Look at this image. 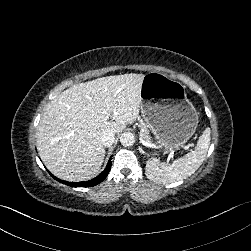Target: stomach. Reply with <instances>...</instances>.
Segmentation results:
<instances>
[{
    "mask_svg": "<svg viewBox=\"0 0 251 251\" xmlns=\"http://www.w3.org/2000/svg\"><path fill=\"white\" fill-rule=\"evenodd\" d=\"M141 115L157 137L150 150L169 156L194 134L198 113L188 100L185 87L168 75L149 72L140 86Z\"/></svg>",
    "mask_w": 251,
    "mask_h": 251,
    "instance_id": "obj_1",
    "label": "stomach"
}]
</instances>
